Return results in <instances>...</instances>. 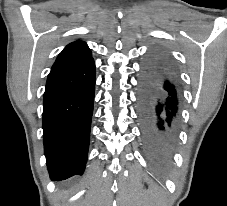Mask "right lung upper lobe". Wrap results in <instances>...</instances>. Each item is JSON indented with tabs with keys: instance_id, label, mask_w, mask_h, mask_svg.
Returning <instances> with one entry per match:
<instances>
[{
	"instance_id": "cb5924a9",
	"label": "right lung upper lobe",
	"mask_w": 227,
	"mask_h": 206,
	"mask_svg": "<svg viewBox=\"0 0 227 206\" xmlns=\"http://www.w3.org/2000/svg\"><path fill=\"white\" fill-rule=\"evenodd\" d=\"M91 56V51L83 41H75L67 45L58 55L53 67L69 63L72 61L84 59ZM52 67V68H53Z\"/></svg>"
}]
</instances>
